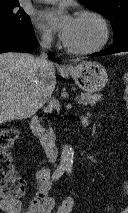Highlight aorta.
Listing matches in <instances>:
<instances>
[{
  "label": "aorta",
  "instance_id": "762f6f07",
  "mask_svg": "<svg viewBox=\"0 0 128 213\" xmlns=\"http://www.w3.org/2000/svg\"><path fill=\"white\" fill-rule=\"evenodd\" d=\"M73 160L74 151L69 145L65 144L61 151L60 167L71 168L73 166Z\"/></svg>",
  "mask_w": 128,
  "mask_h": 213
}]
</instances>
